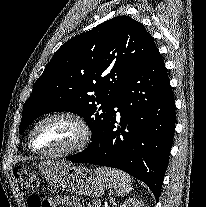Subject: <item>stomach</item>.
<instances>
[{
    "label": "stomach",
    "instance_id": "0dacf381",
    "mask_svg": "<svg viewBox=\"0 0 206 207\" xmlns=\"http://www.w3.org/2000/svg\"><path fill=\"white\" fill-rule=\"evenodd\" d=\"M37 167L50 184L61 190L97 198L107 189L106 182L85 166L47 160Z\"/></svg>",
    "mask_w": 206,
    "mask_h": 207
}]
</instances>
